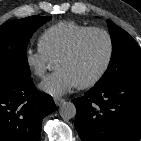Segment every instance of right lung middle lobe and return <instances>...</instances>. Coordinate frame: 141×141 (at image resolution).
Masks as SVG:
<instances>
[{"mask_svg":"<svg viewBox=\"0 0 141 141\" xmlns=\"http://www.w3.org/2000/svg\"><path fill=\"white\" fill-rule=\"evenodd\" d=\"M51 17L30 16L0 26V80L30 77L27 45L33 32Z\"/></svg>","mask_w":141,"mask_h":141,"instance_id":"obj_1","label":"right lung middle lobe"}]
</instances>
